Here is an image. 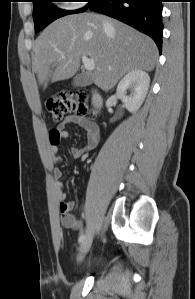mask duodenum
<instances>
[{
	"mask_svg": "<svg viewBox=\"0 0 195 299\" xmlns=\"http://www.w3.org/2000/svg\"><path fill=\"white\" fill-rule=\"evenodd\" d=\"M90 102L94 110L100 109L102 105V98L100 94L97 91H92L91 97H90Z\"/></svg>",
	"mask_w": 195,
	"mask_h": 299,
	"instance_id": "410a0bca",
	"label": "duodenum"
}]
</instances>
